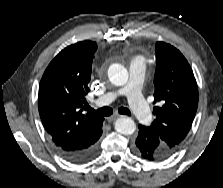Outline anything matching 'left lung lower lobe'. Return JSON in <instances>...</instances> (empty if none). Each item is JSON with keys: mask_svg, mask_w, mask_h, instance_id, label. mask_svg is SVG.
Returning <instances> with one entry per match:
<instances>
[{"mask_svg": "<svg viewBox=\"0 0 223 188\" xmlns=\"http://www.w3.org/2000/svg\"><path fill=\"white\" fill-rule=\"evenodd\" d=\"M139 133L134 145V152L150 161L163 160L168 158L171 153L160 141L158 135L149 127L139 125Z\"/></svg>", "mask_w": 223, "mask_h": 188, "instance_id": "0a47b994", "label": "left lung lower lobe"}]
</instances>
